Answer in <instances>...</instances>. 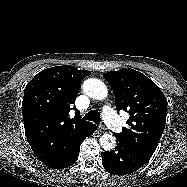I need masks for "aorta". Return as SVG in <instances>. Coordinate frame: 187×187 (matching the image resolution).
Here are the masks:
<instances>
[{"instance_id": "obj_1", "label": "aorta", "mask_w": 187, "mask_h": 187, "mask_svg": "<svg viewBox=\"0 0 187 187\" xmlns=\"http://www.w3.org/2000/svg\"><path fill=\"white\" fill-rule=\"evenodd\" d=\"M83 91L91 98L103 100L107 97L106 85L99 79L90 78L83 83ZM100 145L104 150H112L116 145V137L111 133L101 136Z\"/></svg>"}]
</instances>
